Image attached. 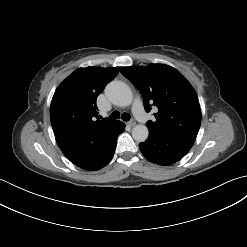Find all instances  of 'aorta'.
I'll use <instances>...</instances> for the list:
<instances>
[{"label": "aorta", "instance_id": "762f6f07", "mask_svg": "<svg viewBox=\"0 0 247 247\" xmlns=\"http://www.w3.org/2000/svg\"><path fill=\"white\" fill-rule=\"evenodd\" d=\"M107 98L120 107H127L133 101V94L129 86L122 81H112L105 88ZM149 135L145 125L138 124L132 129V137L137 142H144Z\"/></svg>", "mask_w": 247, "mask_h": 247}]
</instances>
